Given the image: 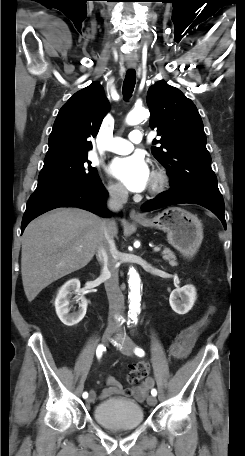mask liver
<instances>
[{"label": "liver", "instance_id": "obj_1", "mask_svg": "<svg viewBox=\"0 0 245 456\" xmlns=\"http://www.w3.org/2000/svg\"><path fill=\"white\" fill-rule=\"evenodd\" d=\"M102 219L77 208H59L32 221L22 238L21 274L29 302L54 281L93 258ZM118 233L112 225V235Z\"/></svg>", "mask_w": 245, "mask_h": 456}]
</instances>
